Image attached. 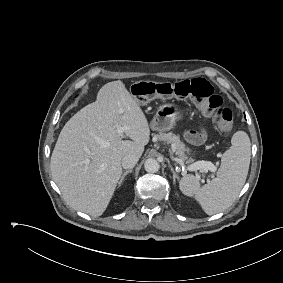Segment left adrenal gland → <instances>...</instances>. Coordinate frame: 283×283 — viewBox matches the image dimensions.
<instances>
[{
  "instance_id": "a2214340",
  "label": "left adrenal gland",
  "mask_w": 283,
  "mask_h": 283,
  "mask_svg": "<svg viewBox=\"0 0 283 283\" xmlns=\"http://www.w3.org/2000/svg\"><path fill=\"white\" fill-rule=\"evenodd\" d=\"M171 167V166H170ZM171 171L173 173V182H176V179H179L178 175L176 174V172L174 171V169L171 167Z\"/></svg>"
}]
</instances>
